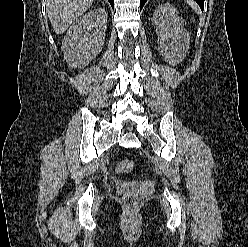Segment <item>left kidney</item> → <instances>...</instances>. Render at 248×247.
I'll list each match as a JSON object with an SVG mask.
<instances>
[{
    "label": "left kidney",
    "mask_w": 248,
    "mask_h": 247,
    "mask_svg": "<svg viewBox=\"0 0 248 247\" xmlns=\"http://www.w3.org/2000/svg\"><path fill=\"white\" fill-rule=\"evenodd\" d=\"M152 24L156 28L158 47L163 58L172 65L183 61L189 48L190 35L176 8L168 3L158 6Z\"/></svg>",
    "instance_id": "left-kidney-1"
}]
</instances>
